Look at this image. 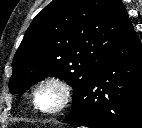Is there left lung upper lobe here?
Masks as SVG:
<instances>
[{"mask_svg": "<svg viewBox=\"0 0 142 128\" xmlns=\"http://www.w3.org/2000/svg\"><path fill=\"white\" fill-rule=\"evenodd\" d=\"M135 30L121 0H53L32 21L15 53L12 94L48 76L72 86L73 105L107 55Z\"/></svg>", "mask_w": 142, "mask_h": 128, "instance_id": "obj_1", "label": "left lung upper lobe"}]
</instances>
